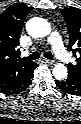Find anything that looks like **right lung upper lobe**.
I'll list each match as a JSON object with an SVG mask.
<instances>
[{"label":"right lung upper lobe","instance_id":"obj_1","mask_svg":"<svg viewBox=\"0 0 81 124\" xmlns=\"http://www.w3.org/2000/svg\"><path fill=\"white\" fill-rule=\"evenodd\" d=\"M31 10L24 3H15L0 14V88L16 82L34 64L20 60L17 49L24 20Z\"/></svg>","mask_w":81,"mask_h":124}]
</instances>
